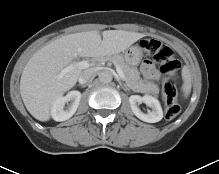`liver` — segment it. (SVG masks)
I'll use <instances>...</instances> for the list:
<instances>
[{
  "mask_svg": "<svg viewBox=\"0 0 219 174\" xmlns=\"http://www.w3.org/2000/svg\"><path fill=\"white\" fill-rule=\"evenodd\" d=\"M143 35L123 30L87 31L62 36L38 50L27 62L20 80L26 109L39 121H48L53 103L70 90L83 72L74 69L58 78L76 57L94 59L120 53Z\"/></svg>",
  "mask_w": 219,
  "mask_h": 174,
  "instance_id": "6515ba94",
  "label": "liver"
}]
</instances>
